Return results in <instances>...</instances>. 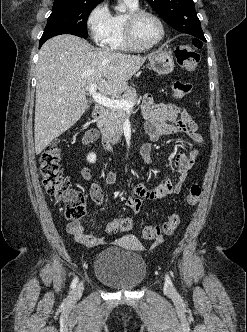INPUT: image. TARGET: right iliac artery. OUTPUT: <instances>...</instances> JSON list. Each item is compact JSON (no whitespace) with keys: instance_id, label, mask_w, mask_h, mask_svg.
Returning <instances> with one entry per match:
<instances>
[{"instance_id":"obj_1","label":"right iliac artery","mask_w":247,"mask_h":332,"mask_svg":"<svg viewBox=\"0 0 247 332\" xmlns=\"http://www.w3.org/2000/svg\"><path fill=\"white\" fill-rule=\"evenodd\" d=\"M77 283H78V278L75 277V278L73 279L72 283H71V286H70V291H71V292L75 289Z\"/></svg>"}]
</instances>
